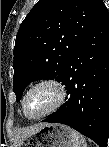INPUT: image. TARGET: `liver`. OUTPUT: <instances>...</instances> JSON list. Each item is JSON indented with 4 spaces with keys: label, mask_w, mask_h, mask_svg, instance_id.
<instances>
[{
    "label": "liver",
    "mask_w": 109,
    "mask_h": 147,
    "mask_svg": "<svg viewBox=\"0 0 109 147\" xmlns=\"http://www.w3.org/2000/svg\"><path fill=\"white\" fill-rule=\"evenodd\" d=\"M45 123H40V124H36L34 126H30L28 128H23L21 130L18 131L17 136H16V140L18 141V145H20L19 143L21 142V140L23 138H26L27 136L37 132L38 130H40L42 127H44Z\"/></svg>",
    "instance_id": "liver-1"
}]
</instances>
